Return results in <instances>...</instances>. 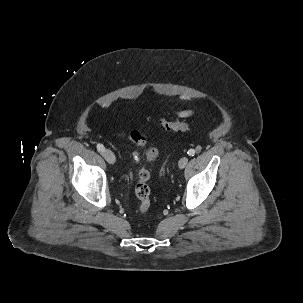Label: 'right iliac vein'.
I'll use <instances>...</instances> for the list:
<instances>
[{
    "instance_id": "1",
    "label": "right iliac vein",
    "mask_w": 303,
    "mask_h": 303,
    "mask_svg": "<svg viewBox=\"0 0 303 303\" xmlns=\"http://www.w3.org/2000/svg\"><path fill=\"white\" fill-rule=\"evenodd\" d=\"M102 155L108 163H110V164L115 163L116 158H115L114 153L111 150H109V149L104 150Z\"/></svg>"
}]
</instances>
